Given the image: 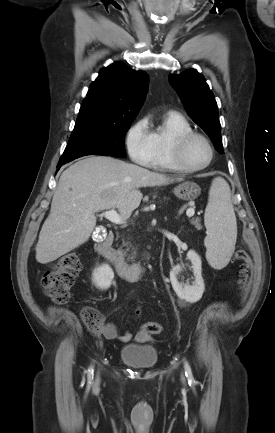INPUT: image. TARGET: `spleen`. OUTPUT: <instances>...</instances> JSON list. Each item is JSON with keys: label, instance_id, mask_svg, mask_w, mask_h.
Masks as SVG:
<instances>
[{"label": "spleen", "instance_id": "obj_1", "mask_svg": "<svg viewBox=\"0 0 275 433\" xmlns=\"http://www.w3.org/2000/svg\"><path fill=\"white\" fill-rule=\"evenodd\" d=\"M204 222L207 229L204 240L206 258L213 268L222 269L229 263L235 250L237 223L230 187L220 177L211 184Z\"/></svg>", "mask_w": 275, "mask_h": 433}]
</instances>
